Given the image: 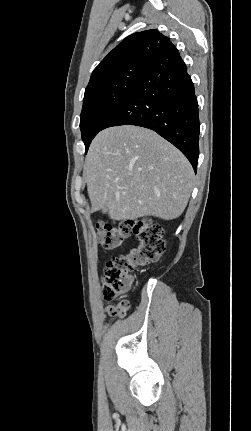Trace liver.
<instances>
[{
  "label": "liver",
  "instance_id": "1",
  "mask_svg": "<svg viewBox=\"0 0 251 431\" xmlns=\"http://www.w3.org/2000/svg\"><path fill=\"white\" fill-rule=\"evenodd\" d=\"M83 175L91 212L107 208L112 220L179 217L194 185L186 157L149 129L124 125L102 130L92 141Z\"/></svg>",
  "mask_w": 251,
  "mask_h": 431
}]
</instances>
